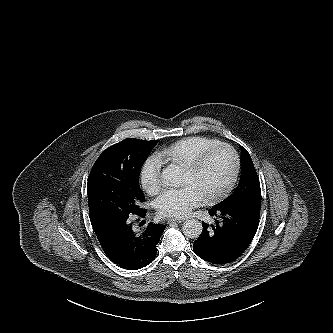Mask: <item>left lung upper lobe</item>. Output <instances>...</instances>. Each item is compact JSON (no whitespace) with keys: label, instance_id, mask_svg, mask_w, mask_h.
<instances>
[{"label":"left lung upper lobe","instance_id":"left-lung-upper-lobe-1","mask_svg":"<svg viewBox=\"0 0 333 333\" xmlns=\"http://www.w3.org/2000/svg\"><path fill=\"white\" fill-rule=\"evenodd\" d=\"M241 179L236 190L214 207L237 208L261 203L260 182L247 150L241 147Z\"/></svg>","mask_w":333,"mask_h":333}]
</instances>
